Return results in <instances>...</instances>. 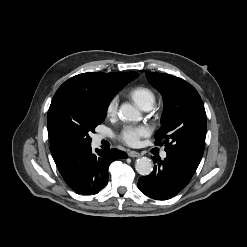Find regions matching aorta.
Returning <instances> with one entry per match:
<instances>
[{"instance_id": "1", "label": "aorta", "mask_w": 247, "mask_h": 247, "mask_svg": "<svg viewBox=\"0 0 247 247\" xmlns=\"http://www.w3.org/2000/svg\"><path fill=\"white\" fill-rule=\"evenodd\" d=\"M119 116L126 121H140V112L131 104L124 103L120 106ZM136 171L142 175H149L153 170L152 161L147 157L139 158L135 163Z\"/></svg>"}]
</instances>
